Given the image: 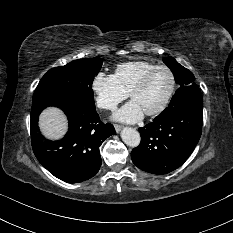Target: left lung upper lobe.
<instances>
[{
  "label": "left lung upper lobe",
  "instance_id": "left-lung-upper-lobe-1",
  "mask_svg": "<svg viewBox=\"0 0 233 233\" xmlns=\"http://www.w3.org/2000/svg\"><path fill=\"white\" fill-rule=\"evenodd\" d=\"M163 61L173 72L175 81L180 87L176 90L168 107L158 115L159 117L168 115L176 106L180 105L186 99L201 95L200 89L194 82V75L191 71L180 65L174 58L166 57Z\"/></svg>",
  "mask_w": 233,
  "mask_h": 233
}]
</instances>
